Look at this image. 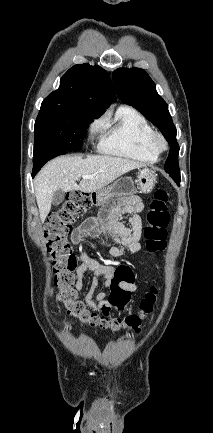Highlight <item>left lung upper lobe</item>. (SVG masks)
Listing matches in <instances>:
<instances>
[{
  "instance_id": "obj_1",
  "label": "left lung upper lobe",
  "mask_w": 213,
  "mask_h": 433,
  "mask_svg": "<svg viewBox=\"0 0 213 433\" xmlns=\"http://www.w3.org/2000/svg\"><path fill=\"white\" fill-rule=\"evenodd\" d=\"M113 79L121 101L136 108L156 125L170 144L171 150L164 169L179 185V145L176 141V127L168 111V105L158 95L154 82L147 72L140 68H118L113 72Z\"/></svg>"
}]
</instances>
